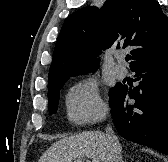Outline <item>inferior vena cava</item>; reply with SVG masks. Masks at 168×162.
Here are the masks:
<instances>
[{
	"label": "inferior vena cava",
	"instance_id": "obj_1",
	"mask_svg": "<svg viewBox=\"0 0 168 162\" xmlns=\"http://www.w3.org/2000/svg\"><path fill=\"white\" fill-rule=\"evenodd\" d=\"M106 140L108 147V161L109 162H122L121 156V146L117 137L114 135V132L111 126L108 125L106 128Z\"/></svg>",
	"mask_w": 168,
	"mask_h": 162
}]
</instances>
